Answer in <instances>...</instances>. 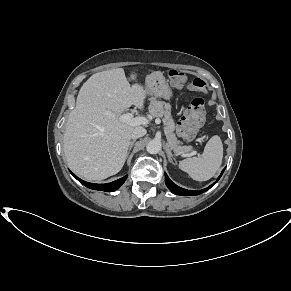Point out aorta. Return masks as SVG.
<instances>
[{"instance_id":"aorta-1","label":"aorta","mask_w":291,"mask_h":291,"mask_svg":"<svg viewBox=\"0 0 291 291\" xmlns=\"http://www.w3.org/2000/svg\"><path fill=\"white\" fill-rule=\"evenodd\" d=\"M146 150L150 154H157L161 150V142L156 139L149 141Z\"/></svg>"}]
</instances>
